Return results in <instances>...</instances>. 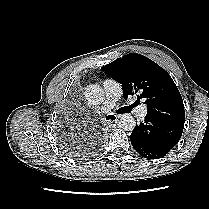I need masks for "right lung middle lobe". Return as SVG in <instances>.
<instances>
[{
    "instance_id": "dd1d6c3e",
    "label": "right lung middle lobe",
    "mask_w": 209,
    "mask_h": 209,
    "mask_svg": "<svg viewBox=\"0 0 209 209\" xmlns=\"http://www.w3.org/2000/svg\"><path fill=\"white\" fill-rule=\"evenodd\" d=\"M67 148H70V147H67ZM68 151L71 152L72 155H75V153H77L76 150H73L72 148L69 149Z\"/></svg>"
}]
</instances>
